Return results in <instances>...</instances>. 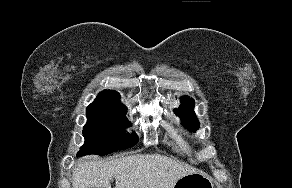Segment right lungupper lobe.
<instances>
[{
	"instance_id": "obj_1",
	"label": "right lung upper lobe",
	"mask_w": 292,
	"mask_h": 188,
	"mask_svg": "<svg viewBox=\"0 0 292 188\" xmlns=\"http://www.w3.org/2000/svg\"><path fill=\"white\" fill-rule=\"evenodd\" d=\"M107 92H115V91H107ZM117 93V92H116Z\"/></svg>"
}]
</instances>
